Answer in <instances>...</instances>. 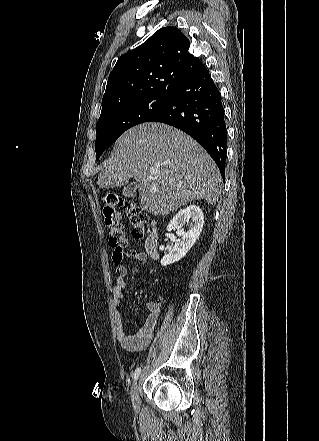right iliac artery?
<instances>
[{
  "label": "right iliac artery",
  "mask_w": 319,
  "mask_h": 441,
  "mask_svg": "<svg viewBox=\"0 0 319 441\" xmlns=\"http://www.w3.org/2000/svg\"><path fill=\"white\" fill-rule=\"evenodd\" d=\"M140 372H141V368L138 367V368L135 370L134 374H133V379H134V381H136V380L138 379V377H139V375H140Z\"/></svg>",
  "instance_id": "1"
}]
</instances>
